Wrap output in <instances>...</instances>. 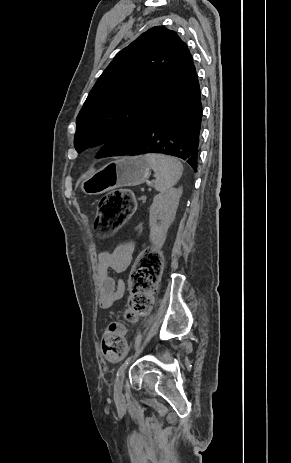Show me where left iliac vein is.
<instances>
[{
    "instance_id": "obj_1",
    "label": "left iliac vein",
    "mask_w": 291,
    "mask_h": 463,
    "mask_svg": "<svg viewBox=\"0 0 291 463\" xmlns=\"http://www.w3.org/2000/svg\"><path fill=\"white\" fill-rule=\"evenodd\" d=\"M125 379V370L122 374L118 376L114 383V401L116 405L122 406L124 403V396L122 393L123 383Z\"/></svg>"
}]
</instances>
